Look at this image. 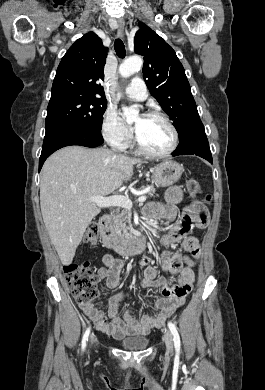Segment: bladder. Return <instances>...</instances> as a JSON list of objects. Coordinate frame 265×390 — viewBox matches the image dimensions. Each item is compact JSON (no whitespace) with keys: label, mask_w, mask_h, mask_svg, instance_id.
<instances>
[{"label":"bladder","mask_w":265,"mask_h":390,"mask_svg":"<svg viewBox=\"0 0 265 390\" xmlns=\"http://www.w3.org/2000/svg\"><path fill=\"white\" fill-rule=\"evenodd\" d=\"M121 347L127 350H142L149 344V339L146 337H125L119 341Z\"/></svg>","instance_id":"bladder-1"}]
</instances>
